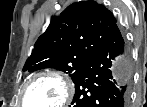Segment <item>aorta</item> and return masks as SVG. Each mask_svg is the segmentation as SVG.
<instances>
[{
  "mask_svg": "<svg viewBox=\"0 0 147 107\" xmlns=\"http://www.w3.org/2000/svg\"><path fill=\"white\" fill-rule=\"evenodd\" d=\"M128 74L127 62L123 57H117L112 66L113 78L118 81Z\"/></svg>",
  "mask_w": 147,
  "mask_h": 107,
  "instance_id": "1",
  "label": "aorta"
}]
</instances>
